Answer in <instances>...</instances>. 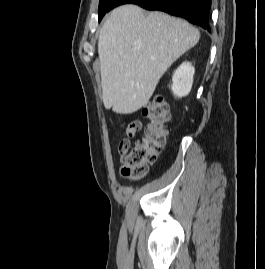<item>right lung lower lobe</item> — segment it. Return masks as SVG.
<instances>
[{
    "instance_id": "98d812e1",
    "label": "right lung lower lobe",
    "mask_w": 265,
    "mask_h": 269,
    "mask_svg": "<svg viewBox=\"0 0 265 269\" xmlns=\"http://www.w3.org/2000/svg\"><path fill=\"white\" fill-rule=\"evenodd\" d=\"M128 3L137 4L147 10H160L185 18L210 32L211 0H114L108 11Z\"/></svg>"
}]
</instances>
